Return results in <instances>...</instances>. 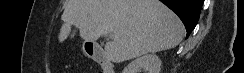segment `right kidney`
Segmentation results:
<instances>
[{"label": "right kidney", "mask_w": 244, "mask_h": 73, "mask_svg": "<svg viewBox=\"0 0 244 73\" xmlns=\"http://www.w3.org/2000/svg\"><path fill=\"white\" fill-rule=\"evenodd\" d=\"M144 67L148 73H159L161 60L156 54H146L130 62L123 70V73H138Z\"/></svg>", "instance_id": "right-kidney-1"}]
</instances>
